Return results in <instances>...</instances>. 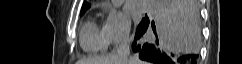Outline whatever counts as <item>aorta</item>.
<instances>
[{"label": "aorta", "instance_id": "obj_1", "mask_svg": "<svg viewBox=\"0 0 242 64\" xmlns=\"http://www.w3.org/2000/svg\"><path fill=\"white\" fill-rule=\"evenodd\" d=\"M112 4L116 8H120L124 2V0H111Z\"/></svg>", "mask_w": 242, "mask_h": 64}]
</instances>
